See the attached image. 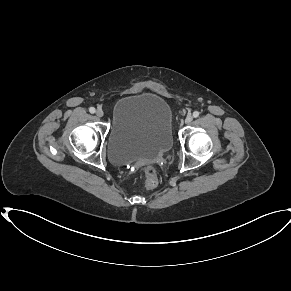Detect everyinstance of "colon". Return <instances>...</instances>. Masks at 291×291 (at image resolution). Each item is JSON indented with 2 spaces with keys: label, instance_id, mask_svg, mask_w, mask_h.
<instances>
[{
  "label": "colon",
  "instance_id": "1",
  "mask_svg": "<svg viewBox=\"0 0 291 291\" xmlns=\"http://www.w3.org/2000/svg\"><path fill=\"white\" fill-rule=\"evenodd\" d=\"M144 176V185L148 188L155 187L158 183L157 171L152 167H145L142 169Z\"/></svg>",
  "mask_w": 291,
  "mask_h": 291
}]
</instances>
